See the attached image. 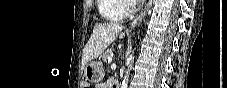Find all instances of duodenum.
<instances>
[{"label": "duodenum", "mask_w": 227, "mask_h": 88, "mask_svg": "<svg viewBox=\"0 0 227 88\" xmlns=\"http://www.w3.org/2000/svg\"><path fill=\"white\" fill-rule=\"evenodd\" d=\"M119 87V82L116 80L111 81V88H118Z\"/></svg>", "instance_id": "obj_1"}]
</instances>
